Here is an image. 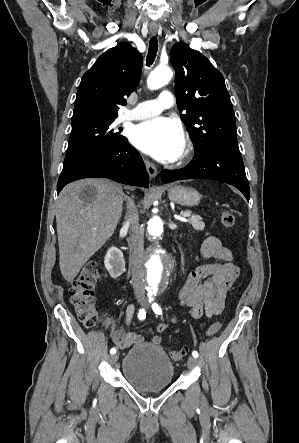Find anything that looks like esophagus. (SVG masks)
<instances>
[{"label":"esophagus","mask_w":299,"mask_h":443,"mask_svg":"<svg viewBox=\"0 0 299 443\" xmlns=\"http://www.w3.org/2000/svg\"><path fill=\"white\" fill-rule=\"evenodd\" d=\"M149 30L152 34H156L158 29H157V27H150ZM145 165H146V169H147V172H148L150 178H155L158 173L155 165L153 163H151L150 161H145Z\"/></svg>","instance_id":"esophagus-1"}]
</instances>
